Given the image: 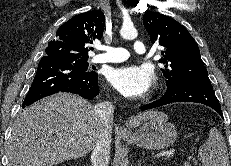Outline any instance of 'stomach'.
I'll use <instances>...</instances> for the list:
<instances>
[{
    "label": "stomach",
    "mask_w": 231,
    "mask_h": 166,
    "mask_svg": "<svg viewBox=\"0 0 231 166\" xmlns=\"http://www.w3.org/2000/svg\"><path fill=\"white\" fill-rule=\"evenodd\" d=\"M123 138L146 149L161 150L174 143L177 138V130L173 124L168 122L165 114L157 112L131 136Z\"/></svg>",
    "instance_id": "0dacf381"
}]
</instances>
